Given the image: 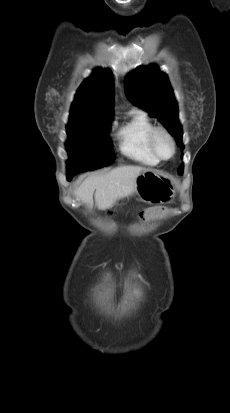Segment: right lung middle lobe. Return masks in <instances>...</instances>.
<instances>
[{"instance_id": "1", "label": "right lung middle lobe", "mask_w": 230, "mask_h": 413, "mask_svg": "<svg viewBox=\"0 0 230 413\" xmlns=\"http://www.w3.org/2000/svg\"><path fill=\"white\" fill-rule=\"evenodd\" d=\"M110 123L111 119H101L87 124L67 126L68 180L75 173L107 166L115 160L108 137Z\"/></svg>"}]
</instances>
